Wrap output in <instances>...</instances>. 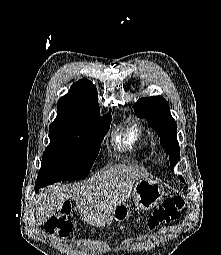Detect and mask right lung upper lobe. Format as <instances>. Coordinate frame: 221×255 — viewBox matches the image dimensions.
Listing matches in <instances>:
<instances>
[{"label":"right lung upper lobe","mask_w":221,"mask_h":255,"mask_svg":"<svg viewBox=\"0 0 221 255\" xmlns=\"http://www.w3.org/2000/svg\"><path fill=\"white\" fill-rule=\"evenodd\" d=\"M99 111L96 86L87 79H81L59 99L57 117L52 124L95 128Z\"/></svg>","instance_id":"right-lung-upper-lobe-1"}]
</instances>
